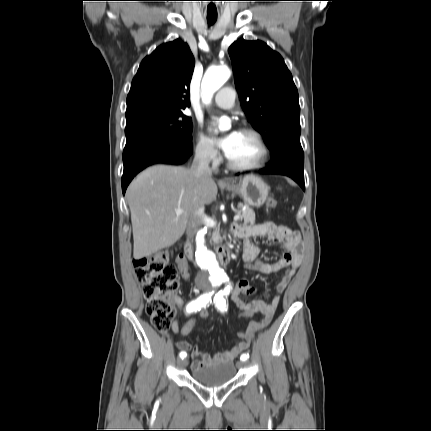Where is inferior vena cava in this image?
Returning <instances> with one entry per match:
<instances>
[{"mask_svg":"<svg viewBox=\"0 0 431 431\" xmlns=\"http://www.w3.org/2000/svg\"><path fill=\"white\" fill-rule=\"evenodd\" d=\"M208 155H209V149L206 148L204 150L198 151L194 157V160H193V163H192L190 170L195 174V176L197 178L202 177V176L211 177V175H212V170L209 167ZM197 214L198 215L204 214V206H201L198 209ZM199 224H200L199 219H193L189 222L188 237L190 239L194 238Z\"/></svg>","mask_w":431,"mask_h":431,"instance_id":"1","label":"inferior vena cava"}]
</instances>
